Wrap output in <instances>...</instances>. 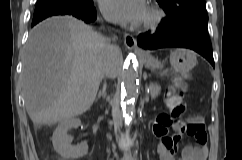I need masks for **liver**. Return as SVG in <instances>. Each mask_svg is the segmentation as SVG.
Returning <instances> with one entry per match:
<instances>
[{"label": "liver", "mask_w": 242, "mask_h": 160, "mask_svg": "<svg viewBox=\"0 0 242 160\" xmlns=\"http://www.w3.org/2000/svg\"><path fill=\"white\" fill-rule=\"evenodd\" d=\"M104 43L90 26L70 16L49 18L30 31L22 90L35 125H52L90 109L103 74L98 69L108 58ZM118 65L120 71L122 53Z\"/></svg>", "instance_id": "1"}]
</instances>
